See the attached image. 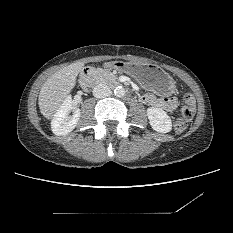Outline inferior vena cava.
I'll return each mask as SVG.
<instances>
[{
	"label": "inferior vena cava",
	"instance_id": "1",
	"mask_svg": "<svg viewBox=\"0 0 233 233\" xmlns=\"http://www.w3.org/2000/svg\"><path fill=\"white\" fill-rule=\"evenodd\" d=\"M112 94L111 89L104 84H99L97 86L94 87L93 89V96L95 98H104L107 96H110Z\"/></svg>",
	"mask_w": 233,
	"mask_h": 233
}]
</instances>
